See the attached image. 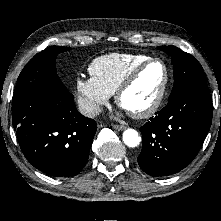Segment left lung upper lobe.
Wrapping results in <instances>:
<instances>
[{
	"mask_svg": "<svg viewBox=\"0 0 221 221\" xmlns=\"http://www.w3.org/2000/svg\"><path fill=\"white\" fill-rule=\"evenodd\" d=\"M158 49L171 56L174 65V86L169 100L189 88L207 86L203 68L192 55L175 46H159Z\"/></svg>",
	"mask_w": 221,
	"mask_h": 221,
	"instance_id": "obj_1",
	"label": "left lung upper lobe"
}]
</instances>
